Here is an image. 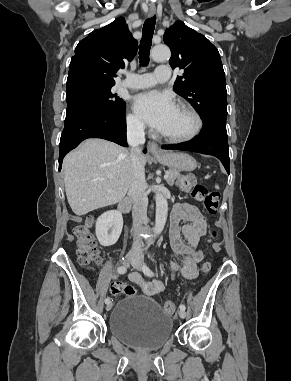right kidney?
Segmentation results:
<instances>
[{
	"label": "right kidney",
	"instance_id": "1",
	"mask_svg": "<svg viewBox=\"0 0 291 381\" xmlns=\"http://www.w3.org/2000/svg\"><path fill=\"white\" fill-rule=\"evenodd\" d=\"M123 217L117 210L103 213L96 221V236L102 246L114 245L122 232Z\"/></svg>",
	"mask_w": 291,
	"mask_h": 381
}]
</instances>
